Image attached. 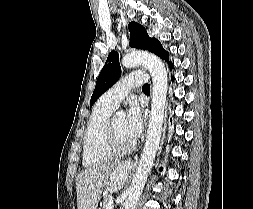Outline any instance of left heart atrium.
Listing matches in <instances>:
<instances>
[{
    "label": "left heart atrium",
    "instance_id": "left-heart-atrium-1",
    "mask_svg": "<svg viewBox=\"0 0 253 209\" xmlns=\"http://www.w3.org/2000/svg\"><path fill=\"white\" fill-rule=\"evenodd\" d=\"M144 116L141 107L135 101L131 102L125 119V131L127 137L135 142L143 131Z\"/></svg>",
    "mask_w": 253,
    "mask_h": 209
}]
</instances>
